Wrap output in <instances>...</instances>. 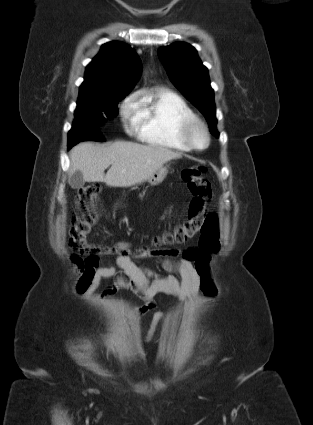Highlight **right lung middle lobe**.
Instances as JSON below:
<instances>
[{
    "instance_id": "obj_1",
    "label": "right lung middle lobe",
    "mask_w": 313,
    "mask_h": 425,
    "mask_svg": "<svg viewBox=\"0 0 313 425\" xmlns=\"http://www.w3.org/2000/svg\"><path fill=\"white\" fill-rule=\"evenodd\" d=\"M126 95L125 93H113L101 98L78 101L75 110V121L72 127H76L79 122L99 125L104 123L107 118L115 117L118 114V102ZM75 142L74 139H68V144Z\"/></svg>"
}]
</instances>
